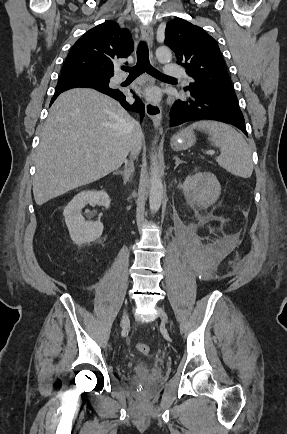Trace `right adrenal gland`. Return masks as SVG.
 Segmentation results:
<instances>
[{
  "label": "right adrenal gland",
  "mask_w": 287,
  "mask_h": 434,
  "mask_svg": "<svg viewBox=\"0 0 287 434\" xmlns=\"http://www.w3.org/2000/svg\"><path fill=\"white\" fill-rule=\"evenodd\" d=\"M133 172H134V165L131 160L130 162L125 161V166L123 171L118 170L114 172V174L121 175L123 177V183L126 184L127 182H129V179Z\"/></svg>",
  "instance_id": "2a0ac1e0"
}]
</instances>
